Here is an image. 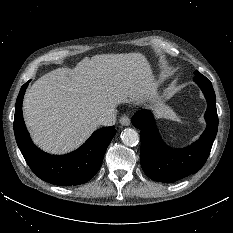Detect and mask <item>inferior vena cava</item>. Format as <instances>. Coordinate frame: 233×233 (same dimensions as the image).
<instances>
[{
	"instance_id": "obj_1",
	"label": "inferior vena cava",
	"mask_w": 233,
	"mask_h": 233,
	"mask_svg": "<svg viewBox=\"0 0 233 233\" xmlns=\"http://www.w3.org/2000/svg\"><path fill=\"white\" fill-rule=\"evenodd\" d=\"M115 122L116 116L114 110L104 113L97 119V124L103 126H112L115 124Z\"/></svg>"
}]
</instances>
